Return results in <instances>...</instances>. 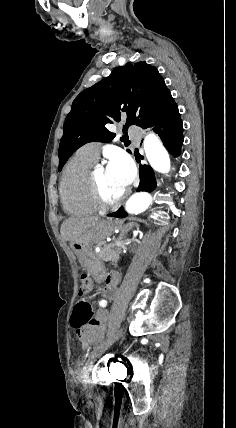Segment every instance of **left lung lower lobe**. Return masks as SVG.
I'll use <instances>...</instances> for the list:
<instances>
[{
    "label": "left lung lower lobe",
    "mask_w": 236,
    "mask_h": 428,
    "mask_svg": "<svg viewBox=\"0 0 236 428\" xmlns=\"http://www.w3.org/2000/svg\"><path fill=\"white\" fill-rule=\"evenodd\" d=\"M148 127H154L153 130L159 134L164 146L174 157L180 155L183 144V123L174 100L142 128L146 129ZM139 171L140 184L136 191L152 192L156 187L152 168L147 165H140ZM108 216L124 218L127 213L123 207H120L118 211L108 214Z\"/></svg>",
    "instance_id": "0a47b994"
}]
</instances>
